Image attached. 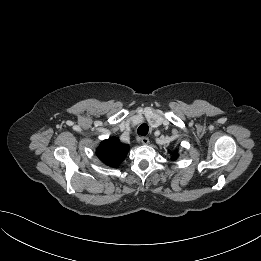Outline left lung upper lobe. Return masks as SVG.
<instances>
[{
    "mask_svg": "<svg viewBox=\"0 0 261 261\" xmlns=\"http://www.w3.org/2000/svg\"><path fill=\"white\" fill-rule=\"evenodd\" d=\"M178 157L177 151L174 152L173 156H172V160H175Z\"/></svg>",
    "mask_w": 261,
    "mask_h": 261,
    "instance_id": "obj_1",
    "label": "left lung upper lobe"
}]
</instances>
